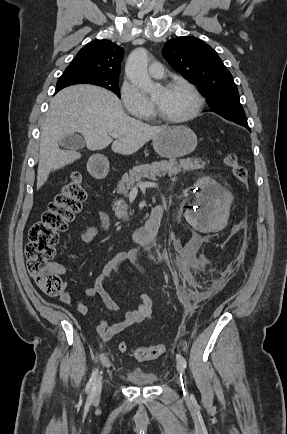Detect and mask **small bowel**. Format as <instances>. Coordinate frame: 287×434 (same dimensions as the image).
<instances>
[{
  "mask_svg": "<svg viewBox=\"0 0 287 434\" xmlns=\"http://www.w3.org/2000/svg\"><path fill=\"white\" fill-rule=\"evenodd\" d=\"M99 218L102 229L104 232H108L110 228L109 216L104 211H99ZM97 237L96 229L93 226H86L81 231V238L84 242L92 244ZM139 249H133L130 251H121L116 253L102 268L100 273L95 279L94 286L86 291L87 297L98 296L109 310L116 311L119 309L118 303L113 299L111 294L107 291L106 284L113 277H117L122 283H125V279L120 274V267L125 262H130L134 265L140 266L139 261ZM55 270L59 273L65 271V267L61 264L54 266ZM72 295L69 291H66L60 297V302L65 305H69L72 302ZM139 304L133 310L128 311L124 318L113 324H109L105 320H99L96 326V332L103 341H109L114 336L120 334L131 325L145 321L151 317L152 308L154 304V298L147 294H140L138 296ZM76 311L80 315H86L89 311L85 302L79 300L76 303Z\"/></svg>",
  "mask_w": 287,
  "mask_h": 434,
  "instance_id": "obj_1",
  "label": "small bowel"
}]
</instances>
